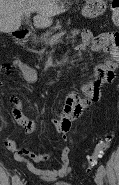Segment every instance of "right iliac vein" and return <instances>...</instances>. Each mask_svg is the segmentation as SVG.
<instances>
[{"label":"right iliac vein","instance_id":"63e3f726","mask_svg":"<svg viewBox=\"0 0 119 185\" xmlns=\"http://www.w3.org/2000/svg\"><path fill=\"white\" fill-rule=\"evenodd\" d=\"M17 185H24L22 181H19Z\"/></svg>","mask_w":119,"mask_h":185}]
</instances>
